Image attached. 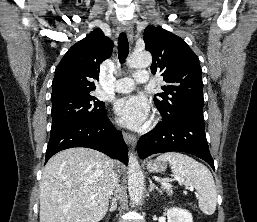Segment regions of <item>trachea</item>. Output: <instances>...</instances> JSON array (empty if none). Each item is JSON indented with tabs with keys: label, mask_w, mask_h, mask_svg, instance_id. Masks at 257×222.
Wrapping results in <instances>:
<instances>
[{
	"label": "trachea",
	"mask_w": 257,
	"mask_h": 222,
	"mask_svg": "<svg viewBox=\"0 0 257 222\" xmlns=\"http://www.w3.org/2000/svg\"><path fill=\"white\" fill-rule=\"evenodd\" d=\"M129 54V43L125 33H121L118 39V58L123 64Z\"/></svg>",
	"instance_id": "obj_1"
}]
</instances>
